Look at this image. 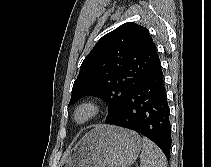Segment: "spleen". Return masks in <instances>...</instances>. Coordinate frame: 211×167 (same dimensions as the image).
I'll use <instances>...</instances> for the list:
<instances>
[{
	"label": "spleen",
	"mask_w": 211,
	"mask_h": 167,
	"mask_svg": "<svg viewBox=\"0 0 211 167\" xmlns=\"http://www.w3.org/2000/svg\"><path fill=\"white\" fill-rule=\"evenodd\" d=\"M142 141L141 167H167V160L163 152L148 138L143 137Z\"/></svg>",
	"instance_id": "obj_1"
}]
</instances>
